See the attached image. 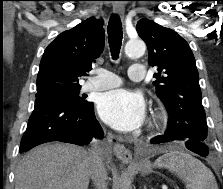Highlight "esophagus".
Returning a JSON list of instances; mask_svg holds the SVG:
<instances>
[{
    "mask_svg": "<svg viewBox=\"0 0 223 189\" xmlns=\"http://www.w3.org/2000/svg\"><path fill=\"white\" fill-rule=\"evenodd\" d=\"M124 5L117 1L113 4V12L119 15L121 18L124 16ZM113 152L115 156L124 164H128L132 161V153L123 144L114 143Z\"/></svg>",
    "mask_w": 223,
    "mask_h": 189,
    "instance_id": "34e87169",
    "label": "esophagus"
}]
</instances>
